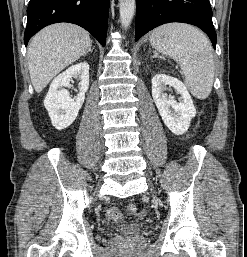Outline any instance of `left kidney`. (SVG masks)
<instances>
[{
  "label": "left kidney",
  "instance_id": "obj_1",
  "mask_svg": "<svg viewBox=\"0 0 247 257\" xmlns=\"http://www.w3.org/2000/svg\"><path fill=\"white\" fill-rule=\"evenodd\" d=\"M167 85L181 95L179 102L164 93ZM152 97L160 116L170 131L176 135L184 134L196 115V109L186 86L174 77L157 74L152 79Z\"/></svg>",
  "mask_w": 247,
  "mask_h": 257
}]
</instances>
